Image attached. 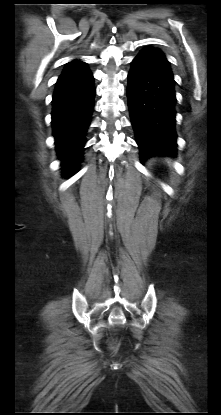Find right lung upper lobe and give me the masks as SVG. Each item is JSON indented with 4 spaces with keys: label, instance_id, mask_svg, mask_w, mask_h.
Instances as JSON below:
<instances>
[{
    "label": "right lung upper lobe",
    "instance_id": "obj_1",
    "mask_svg": "<svg viewBox=\"0 0 221 415\" xmlns=\"http://www.w3.org/2000/svg\"><path fill=\"white\" fill-rule=\"evenodd\" d=\"M83 62H81V61H72V62H69L67 65H76V64H82Z\"/></svg>",
    "mask_w": 221,
    "mask_h": 415
}]
</instances>
